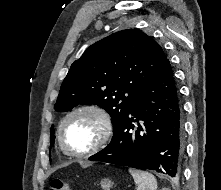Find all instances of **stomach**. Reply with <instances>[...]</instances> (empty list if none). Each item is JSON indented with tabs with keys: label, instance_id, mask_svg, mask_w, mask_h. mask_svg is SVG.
<instances>
[{
	"label": "stomach",
	"instance_id": "0dacf381",
	"mask_svg": "<svg viewBox=\"0 0 221 190\" xmlns=\"http://www.w3.org/2000/svg\"><path fill=\"white\" fill-rule=\"evenodd\" d=\"M113 184L114 183L109 178H104L101 181V187L103 188V190H110Z\"/></svg>",
	"mask_w": 221,
	"mask_h": 190
}]
</instances>
